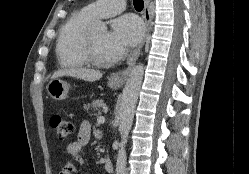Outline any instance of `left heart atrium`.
Returning <instances> with one entry per match:
<instances>
[{
  "label": "left heart atrium",
  "mask_w": 249,
  "mask_h": 174,
  "mask_svg": "<svg viewBox=\"0 0 249 174\" xmlns=\"http://www.w3.org/2000/svg\"><path fill=\"white\" fill-rule=\"evenodd\" d=\"M142 34V25L136 17L126 15L116 19L107 38L111 61L122 58L129 47L140 41Z\"/></svg>",
  "instance_id": "obj_1"
}]
</instances>
